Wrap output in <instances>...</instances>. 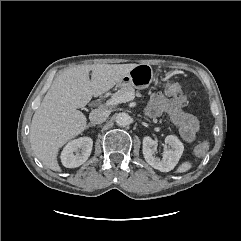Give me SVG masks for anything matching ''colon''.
Here are the masks:
<instances>
[{
	"label": "colon",
	"mask_w": 241,
	"mask_h": 241,
	"mask_svg": "<svg viewBox=\"0 0 241 241\" xmlns=\"http://www.w3.org/2000/svg\"><path fill=\"white\" fill-rule=\"evenodd\" d=\"M164 92L167 96L173 97L174 99L178 100L182 104L187 103V99L185 94L183 93L181 87L177 83H167ZM208 151V144L207 143H200L195 147V155L198 157H203L206 155Z\"/></svg>",
	"instance_id": "5ec220e1"
}]
</instances>
